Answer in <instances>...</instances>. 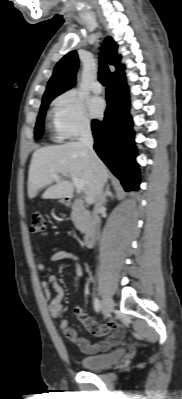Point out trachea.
<instances>
[{
    "label": "trachea",
    "instance_id": "obj_1",
    "mask_svg": "<svg viewBox=\"0 0 182 399\" xmlns=\"http://www.w3.org/2000/svg\"><path fill=\"white\" fill-rule=\"evenodd\" d=\"M109 69L104 61H100L99 67V81L106 86L109 80Z\"/></svg>",
    "mask_w": 182,
    "mask_h": 399
}]
</instances>
